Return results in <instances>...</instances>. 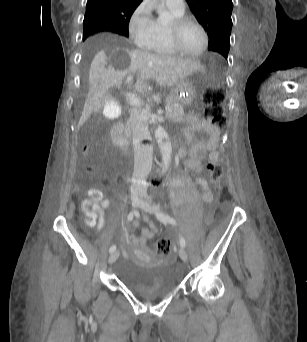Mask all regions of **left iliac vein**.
Listing matches in <instances>:
<instances>
[{"instance_id": "4c4485c4", "label": "left iliac vein", "mask_w": 307, "mask_h": 342, "mask_svg": "<svg viewBox=\"0 0 307 342\" xmlns=\"http://www.w3.org/2000/svg\"><path fill=\"white\" fill-rule=\"evenodd\" d=\"M139 206H140V208L142 210L147 211V212H153V213H155V211L157 209H159L157 206H155V205L153 206L152 202L148 201V200H142V202L140 203ZM178 253H179V257L184 262H186L188 260V254H187L186 250L183 247L179 248Z\"/></svg>"}]
</instances>
